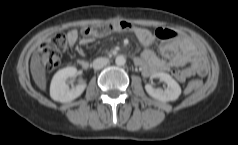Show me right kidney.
I'll list each match as a JSON object with an SVG mask.
<instances>
[{"mask_svg":"<svg viewBox=\"0 0 238 145\" xmlns=\"http://www.w3.org/2000/svg\"><path fill=\"white\" fill-rule=\"evenodd\" d=\"M77 74L75 67L69 66L59 70L51 81L50 96L53 100L66 103L79 97L86 88V83L77 85L75 88L70 89L66 83L67 79L74 77Z\"/></svg>","mask_w":238,"mask_h":145,"instance_id":"1","label":"right kidney"}]
</instances>
